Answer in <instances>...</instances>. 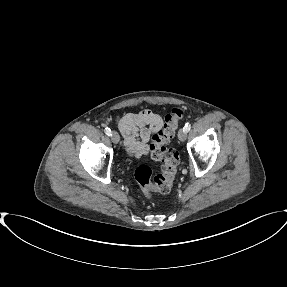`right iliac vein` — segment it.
I'll return each mask as SVG.
<instances>
[{"mask_svg": "<svg viewBox=\"0 0 287 287\" xmlns=\"http://www.w3.org/2000/svg\"><path fill=\"white\" fill-rule=\"evenodd\" d=\"M111 139L115 144L119 143V140H120L119 134L117 132L113 131L111 133Z\"/></svg>", "mask_w": 287, "mask_h": 287, "instance_id": "right-iliac-vein-1", "label": "right iliac vein"}]
</instances>
